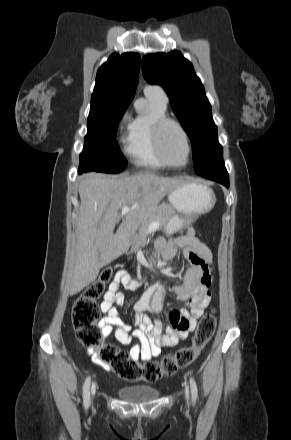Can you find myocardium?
<instances>
[{
  "label": "myocardium",
  "instance_id": "1",
  "mask_svg": "<svg viewBox=\"0 0 291 440\" xmlns=\"http://www.w3.org/2000/svg\"><path fill=\"white\" fill-rule=\"evenodd\" d=\"M168 126L176 127L184 137L186 145V160L183 164H174L170 162L164 154L162 139L163 133ZM152 136L157 156L165 164V166L184 168L188 165L192 153L190 138L185 128L178 121L167 117L156 120L152 125Z\"/></svg>",
  "mask_w": 291,
  "mask_h": 440
}]
</instances>
